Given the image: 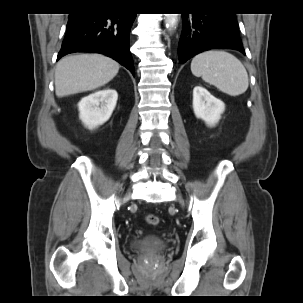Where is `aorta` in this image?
I'll use <instances>...</instances> for the list:
<instances>
[{
  "label": "aorta",
  "instance_id": "762f6f07",
  "mask_svg": "<svg viewBox=\"0 0 303 303\" xmlns=\"http://www.w3.org/2000/svg\"><path fill=\"white\" fill-rule=\"evenodd\" d=\"M179 14H165V24L169 31L176 29L178 24Z\"/></svg>",
  "mask_w": 303,
  "mask_h": 303
}]
</instances>
